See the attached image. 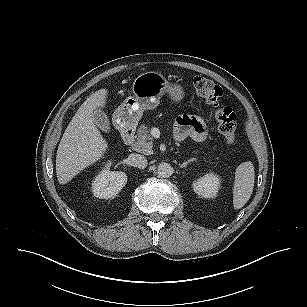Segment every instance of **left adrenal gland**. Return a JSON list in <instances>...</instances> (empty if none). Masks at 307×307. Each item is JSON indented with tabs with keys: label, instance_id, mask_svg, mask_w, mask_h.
I'll list each match as a JSON object with an SVG mask.
<instances>
[{
	"label": "left adrenal gland",
	"instance_id": "a2214340",
	"mask_svg": "<svg viewBox=\"0 0 307 307\" xmlns=\"http://www.w3.org/2000/svg\"><path fill=\"white\" fill-rule=\"evenodd\" d=\"M194 160H195V159H190V160L184 162L183 164H181L180 167H181V168H185V167H187V165H188L190 162H193Z\"/></svg>",
	"mask_w": 307,
	"mask_h": 307
}]
</instances>
